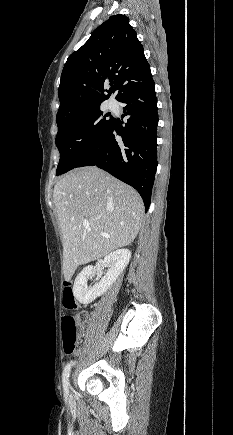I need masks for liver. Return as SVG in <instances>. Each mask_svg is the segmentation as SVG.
<instances>
[{
    "instance_id": "liver-1",
    "label": "liver",
    "mask_w": 233,
    "mask_h": 435,
    "mask_svg": "<svg viewBox=\"0 0 233 435\" xmlns=\"http://www.w3.org/2000/svg\"><path fill=\"white\" fill-rule=\"evenodd\" d=\"M53 199L63 240L62 270L68 281L79 265L131 244L140 230L144 213L140 195L97 167L66 174L56 183ZM85 221L89 228L83 226Z\"/></svg>"
}]
</instances>
